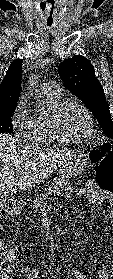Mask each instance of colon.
Masks as SVG:
<instances>
[{"label": "colon", "instance_id": "obj_1", "mask_svg": "<svg viewBox=\"0 0 113 279\" xmlns=\"http://www.w3.org/2000/svg\"><path fill=\"white\" fill-rule=\"evenodd\" d=\"M91 158L98 164L96 182L101 191L113 193V148L104 144L94 149ZM23 260L22 251L18 248L5 245L0 238V275L7 266L17 265Z\"/></svg>", "mask_w": 113, "mask_h": 279}]
</instances>
